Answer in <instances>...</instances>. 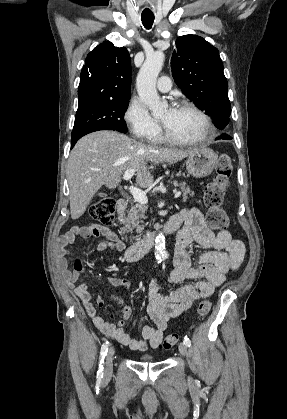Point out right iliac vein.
Segmentation results:
<instances>
[{
    "mask_svg": "<svg viewBox=\"0 0 287 419\" xmlns=\"http://www.w3.org/2000/svg\"><path fill=\"white\" fill-rule=\"evenodd\" d=\"M114 348H111L106 356L105 359V370H104V377L109 378L112 375V366H113V356H114Z\"/></svg>",
    "mask_w": 287,
    "mask_h": 419,
    "instance_id": "1",
    "label": "right iliac vein"
}]
</instances>
